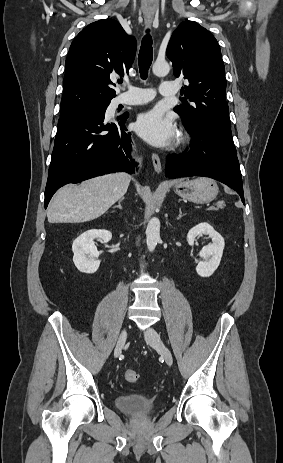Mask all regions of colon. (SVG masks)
Segmentation results:
<instances>
[{
	"mask_svg": "<svg viewBox=\"0 0 283 463\" xmlns=\"http://www.w3.org/2000/svg\"><path fill=\"white\" fill-rule=\"evenodd\" d=\"M125 380L129 383H135L139 379V375L135 370H127L124 373Z\"/></svg>",
	"mask_w": 283,
	"mask_h": 463,
	"instance_id": "obj_1",
	"label": "colon"
}]
</instances>
